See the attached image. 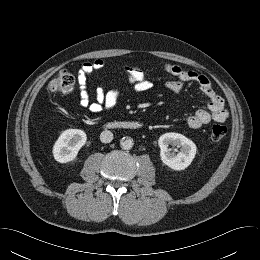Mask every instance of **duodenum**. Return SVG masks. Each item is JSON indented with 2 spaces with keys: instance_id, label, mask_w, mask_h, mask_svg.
<instances>
[{
  "instance_id": "1",
  "label": "duodenum",
  "mask_w": 260,
  "mask_h": 260,
  "mask_svg": "<svg viewBox=\"0 0 260 260\" xmlns=\"http://www.w3.org/2000/svg\"><path fill=\"white\" fill-rule=\"evenodd\" d=\"M109 129H128V130H140L143 127V123L139 121H124V122H109L106 124Z\"/></svg>"
}]
</instances>
